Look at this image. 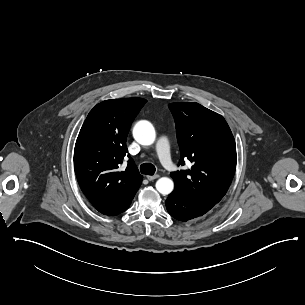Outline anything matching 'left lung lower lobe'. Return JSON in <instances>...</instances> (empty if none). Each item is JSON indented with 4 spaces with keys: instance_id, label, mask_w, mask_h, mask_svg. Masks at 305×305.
<instances>
[{
    "instance_id": "0a47b994",
    "label": "left lung lower lobe",
    "mask_w": 305,
    "mask_h": 305,
    "mask_svg": "<svg viewBox=\"0 0 305 305\" xmlns=\"http://www.w3.org/2000/svg\"><path fill=\"white\" fill-rule=\"evenodd\" d=\"M215 204L188 199L173 191L166 200L167 211L177 220L186 222L208 212Z\"/></svg>"
}]
</instances>
